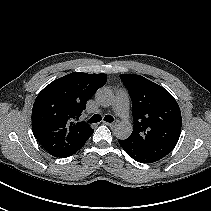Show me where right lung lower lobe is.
Wrapping results in <instances>:
<instances>
[{"label": "right lung lower lobe", "instance_id": "right-lung-lower-lobe-1", "mask_svg": "<svg viewBox=\"0 0 211 211\" xmlns=\"http://www.w3.org/2000/svg\"><path fill=\"white\" fill-rule=\"evenodd\" d=\"M84 144H85V143H84ZM84 144H83V145H84ZM83 145H82V146H83ZM82 146H81V147H79V148H78L76 151H74L73 153H71V154H69V155H66V156H64V157H69V156H71L72 154L76 153L79 149H81V148H82Z\"/></svg>", "mask_w": 211, "mask_h": 211}]
</instances>
